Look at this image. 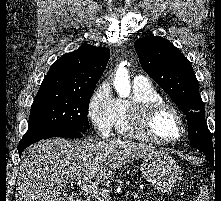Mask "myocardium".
I'll list each match as a JSON object with an SVG mask.
<instances>
[{
	"label": "myocardium",
	"instance_id": "1",
	"mask_svg": "<svg viewBox=\"0 0 221 201\" xmlns=\"http://www.w3.org/2000/svg\"><path fill=\"white\" fill-rule=\"evenodd\" d=\"M163 111H169L177 118L181 131L178 137L173 139H163L158 137L152 130V123L156 116ZM129 126L130 129L138 137L158 143V144H173L182 139L186 132V124L180 111L173 105L164 100L149 101L141 104H136L129 111Z\"/></svg>",
	"mask_w": 221,
	"mask_h": 201
}]
</instances>
